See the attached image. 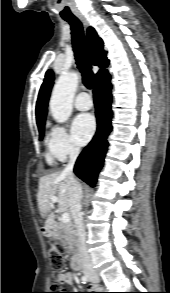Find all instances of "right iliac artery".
Returning <instances> with one entry per match:
<instances>
[{
	"label": "right iliac artery",
	"instance_id": "1",
	"mask_svg": "<svg viewBox=\"0 0 170 293\" xmlns=\"http://www.w3.org/2000/svg\"><path fill=\"white\" fill-rule=\"evenodd\" d=\"M81 280L82 283H86L88 281V278L86 276H82Z\"/></svg>",
	"mask_w": 170,
	"mask_h": 293
}]
</instances>
